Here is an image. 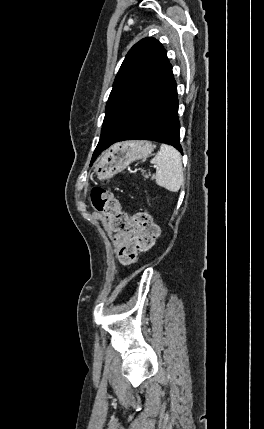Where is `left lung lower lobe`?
Instances as JSON below:
<instances>
[{
	"label": "left lung lower lobe",
	"mask_w": 264,
	"mask_h": 429,
	"mask_svg": "<svg viewBox=\"0 0 264 429\" xmlns=\"http://www.w3.org/2000/svg\"><path fill=\"white\" fill-rule=\"evenodd\" d=\"M179 129L177 86L169 63L161 79L140 102L126 129L115 142L152 140L172 145L182 153ZM106 147L95 150L92 160Z\"/></svg>",
	"instance_id": "left-lung-lower-lobe-1"
}]
</instances>
